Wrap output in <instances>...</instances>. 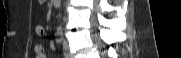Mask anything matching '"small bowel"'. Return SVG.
<instances>
[{
    "mask_svg": "<svg viewBox=\"0 0 181 58\" xmlns=\"http://www.w3.org/2000/svg\"><path fill=\"white\" fill-rule=\"evenodd\" d=\"M35 32H36V34H37L38 36H43L44 33H45V29H44L43 26L38 25V26H36V28H35ZM50 46H51V48H53V47H54V44L51 43ZM34 52H35V54H36V58H45V55H44V47H43L42 44H36V45L34 46Z\"/></svg>",
    "mask_w": 181,
    "mask_h": 58,
    "instance_id": "c3829d8e",
    "label": "small bowel"
}]
</instances>
